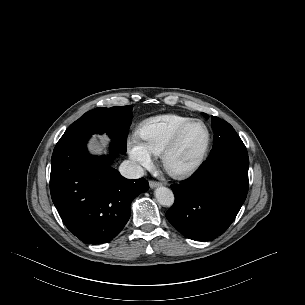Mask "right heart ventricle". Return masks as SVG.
<instances>
[{"instance_id": "1", "label": "right heart ventricle", "mask_w": 305, "mask_h": 305, "mask_svg": "<svg viewBox=\"0 0 305 305\" xmlns=\"http://www.w3.org/2000/svg\"><path fill=\"white\" fill-rule=\"evenodd\" d=\"M191 120L190 117L176 114L154 117L142 123L138 137L151 154L161 155L179 129Z\"/></svg>"}]
</instances>
